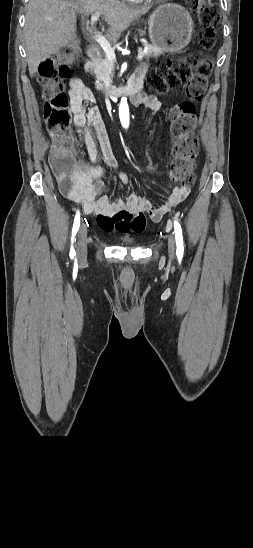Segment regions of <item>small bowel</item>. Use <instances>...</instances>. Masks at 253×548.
<instances>
[{"label":"small bowel","mask_w":253,"mask_h":548,"mask_svg":"<svg viewBox=\"0 0 253 548\" xmlns=\"http://www.w3.org/2000/svg\"><path fill=\"white\" fill-rule=\"evenodd\" d=\"M145 71L146 67L142 65L133 77L143 78ZM69 97L74 124L82 136L89 161L94 163L97 160L99 147L106 167L116 169L118 163L100 111L94 105L93 93L81 79L72 78ZM132 102L135 105H144L151 111H158L161 107V102L156 96L142 92L134 96ZM85 103H91L92 107L87 109ZM105 171L104 167L93 166L84 160H79L68 183L65 185L60 181L59 183L63 195L81 204L86 213L95 214L98 225L107 232L141 233L146 225L145 213H148L153 221H160L170 209L184 201L190 193L189 185L178 183V179L170 175L174 186L168 198L158 207H155L150 199L136 193L129 194L125 200L112 199L107 195H101L105 187ZM118 179L124 185L129 182L125 173H119Z\"/></svg>","instance_id":"small-bowel-1"}]
</instances>
